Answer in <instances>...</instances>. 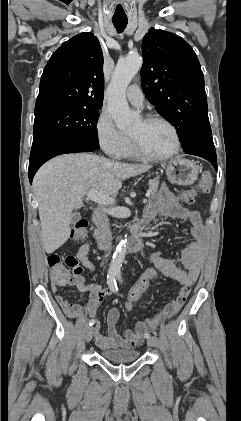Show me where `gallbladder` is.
I'll return each instance as SVG.
<instances>
[{"mask_svg":"<svg viewBox=\"0 0 241 421\" xmlns=\"http://www.w3.org/2000/svg\"><path fill=\"white\" fill-rule=\"evenodd\" d=\"M80 218L81 214L79 212H75L71 218V225H74Z\"/></svg>","mask_w":241,"mask_h":421,"instance_id":"1","label":"gallbladder"}]
</instances>
